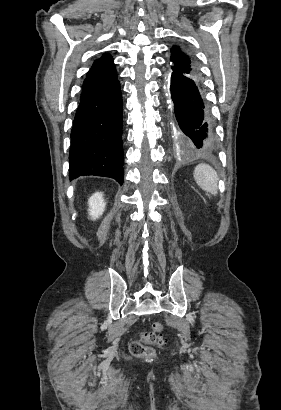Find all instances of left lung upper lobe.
<instances>
[{"mask_svg":"<svg viewBox=\"0 0 281 410\" xmlns=\"http://www.w3.org/2000/svg\"><path fill=\"white\" fill-rule=\"evenodd\" d=\"M170 71L200 79V71L195 60L183 49L174 45L171 49Z\"/></svg>","mask_w":281,"mask_h":410,"instance_id":"obj_1","label":"left lung upper lobe"}]
</instances>
